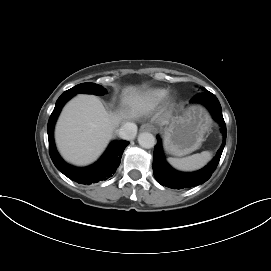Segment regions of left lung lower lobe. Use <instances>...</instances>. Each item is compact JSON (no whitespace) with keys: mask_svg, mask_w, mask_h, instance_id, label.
Returning <instances> with one entry per match:
<instances>
[{"mask_svg":"<svg viewBox=\"0 0 271 271\" xmlns=\"http://www.w3.org/2000/svg\"><path fill=\"white\" fill-rule=\"evenodd\" d=\"M191 102H199L205 105L213 118L220 124L223 133V144L214 159L203 169L193 173H183L174 170L164 159L162 143L157 137V145L153 154V172L157 181L162 185L174 189H182L197 186L206 182L216 169L226 143V125L222 115L221 105L214 94L205 91L195 95Z\"/></svg>","mask_w":271,"mask_h":271,"instance_id":"1","label":"left lung lower lobe"}]
</instances>
